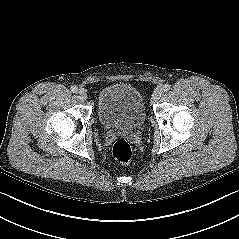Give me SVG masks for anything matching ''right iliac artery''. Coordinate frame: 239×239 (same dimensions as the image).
Returning a JSON list of instances; mask_svg holds the SVG:
<instances>
[{
    "mask_svg": "<svg viewBox=\"0 0 239 239\" xmlns=\"http://www.w3.org/2000/svg\"><path fill=\"white\" fill-rule=\"evenodd\" d=\"M71 91H72L73 93H76V92L78 91V88H77L76 86H72V87H71Z\"/></svg>",
    "mask_w": 239,
    "mask_h": 239,
    "instance_id": "82829eb1",
    "label": "right iliac artery"
}]
</instances>
